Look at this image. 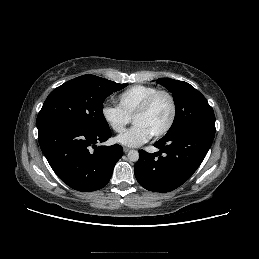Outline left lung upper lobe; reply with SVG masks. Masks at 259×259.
<instances>
[{"label": "left lung upper lobe", "instance_id": "left-lung-upper-lobe-1", "mask_svg": "<svg viewBox=\"0 0 259 259\" xmlns=\"http://www.w3.org/2000/svg\"><path fill=\"white\" fill-rule=\"evenodd\" d=\"M173 95L176 112L172 126L166 135L189 127L215 129V115L206 98L193 86L174 79H158Z\"/></svg>", "mask_w": 259, "mask_h": 259}]
</instances>
